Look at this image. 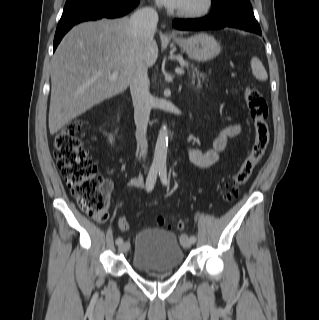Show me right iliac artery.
Listing matches in <instances>:
<instances>
[{"instance_id": "obj_1", "label": "right iliac artery", "mask_w": 319, "mask_h": 320, "mask_svg": "<svg viewBox=\"0 0 319 320\" xmlns=\"http://www.w3.org/2000/svg\"><path fill=\"white\" fill-rule=\"evenodd\" d=\"M159 168L158 167H151L147 180H146V189L147 191H151L154 187L156 178H157V174H158ZM123 243V239L121 237H118L116 239V244L117 245H121Z\"/></svg>"}]
</instances>
